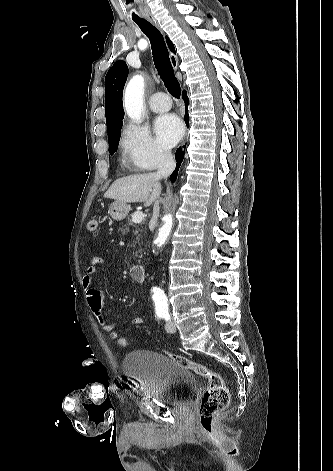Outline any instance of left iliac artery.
<instances>
[{"label":"left iliac artery","mask_w":333,"mask_h":471,"mask_svg":"<svg viewBox=\"0 0 333 471\" xmlns=\"http://www.w3.org/2000/svg\"><path fill=\"white\" fill-rule=\"evenodd\" d=\"M161 317L164 318L166 321L170 320V315L168 312L160 313Z\"/></svg>","instance_id":"1"}]
</instances>
